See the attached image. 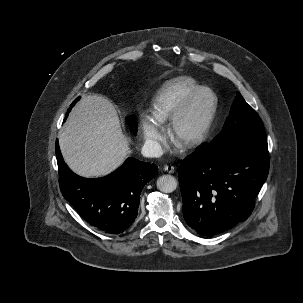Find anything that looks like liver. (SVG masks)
I'll return each instance as SVG.
<instances>
[{"instance_id": "6515ba94", "label": "liver", "mask_w": 303, "mask_h": 303, "mask_svg": "<svg viewBox=\"0 0 303 303\" xmlns=\"http://www.w3.org/2000/svg\"><path fill=\"white\" fill-rule=\"evenodd\" d=\"M59 145L67 165L85 177L111 173L130 153L114 106L97 95L85 96L72 110Z\"/></svg>"}]
</instances>
